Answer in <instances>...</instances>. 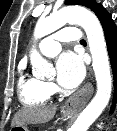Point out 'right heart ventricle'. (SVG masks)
<instances>
[{"label": "right heart ventricle", "instance_id": "e07e8e85", "mask_svg": "<svg viewBox=\"0 0 117 131\" xmlns=\"http://www.w3.org/2000/svg\"><path fill=\"white\" fill-rule=\"evenodd\" d=\"M18 95L25 106H41L49 101L51 92L46 82L23 71L18 80Z\"/></svg>", "mask_w": 117, "mask_h": 131}]
</instances>
